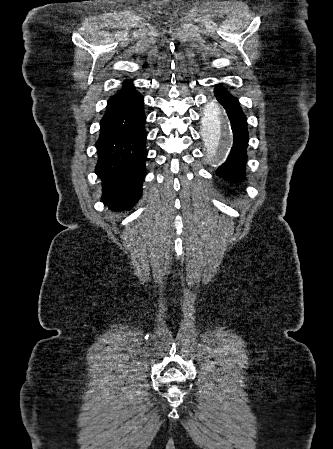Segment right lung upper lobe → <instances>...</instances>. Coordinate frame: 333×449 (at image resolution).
Wrapping results in <instances>:
<instances>
[{"label":"right lung upper lobe","instance_id":"1","mask_svg":"<svg viewBox=\"0 0 333 449\" xmlns=\"http://www.w3.org/2000/svg\"><path fill=\"white\" fill-rule=\"evenodd\" d=\"M135 93H137V92L134 90V88L131 85L130 81L126 80L124 82L123 90H121L118 94L112 96L109 99V101H108L109 103L108 104H112V103L118 102V101L124 99L126 96H129V95H132V94H135Z\"/></svg>","mask_w":333,"mask_h":449}]
</instances>
